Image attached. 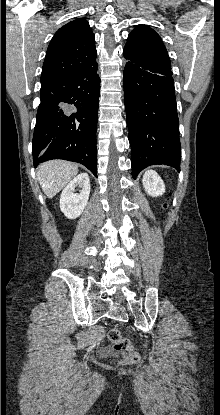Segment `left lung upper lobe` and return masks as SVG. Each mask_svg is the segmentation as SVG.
<instances>
[{
    "instance_id": "1",
    "label": "left lung upper lobe",
    "mask_w": 220,
    "mask_h": 415,
    "mask_svg": "<svg viewBox=\"0 0 220 415\" xmlns=\"http://www.w3.org/2000/svg\"><path fill=\"white\" fill-rule=\"evenodd\" d=\"M124 57L130 62L171 69L167 50L160 36L146 25L136 26L128 35Z\"/></svg>"
}]
</instances>
